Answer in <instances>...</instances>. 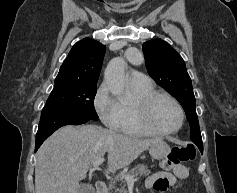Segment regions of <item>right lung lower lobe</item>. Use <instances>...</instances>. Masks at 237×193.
<instances>
[{
  "mask_svg": "<svg viewBox=\"0 0 237 193\" xmlns=\"http://www.w3.org/2000/svg\"><path fill=\"white\" fill-rule=\"evenodd\" d=\"M90 119L76 118L62 113L42 110L39 128L36 134L35 152L41 144L58 128L65 125H80Z\"/></svg>",
  "mask_w": 237,
  "mask_h": 193,
  "instance_id": "98d812e1",
  "label": "right lung lower lobe"
}]
</instances>
